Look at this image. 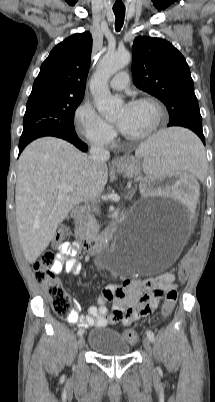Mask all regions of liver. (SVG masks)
Listing matches in <instances>:
<instances>
[{
  "label": "liver",
  "mask_w": 215,
  "mask_h": 402,
  "mask_svg": "<svg viewBox=\"0 0 215 402\" xmlns=\"http://www.w3.org/2000/svg\"><path fill=\"white\" fill-rule=\"evenodd\" d=\"M15 188L16 224L20 244L34 263L53 239L71 209L96 198L108 180V168L72 144L54 137L39 138L21 153ZM73 190L58 198L59 186Z\"/></svg>",
  "instance_id": "liver-1"
}]
</instances>
